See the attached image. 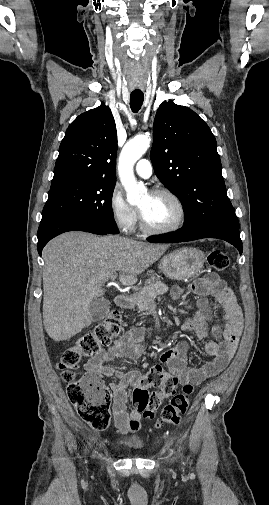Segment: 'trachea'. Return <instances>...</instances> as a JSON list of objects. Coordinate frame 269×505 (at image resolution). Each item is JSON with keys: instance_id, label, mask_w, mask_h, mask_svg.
<instances>
[{"instance_id": "trachea-1", "label": "trachea", "mask_w": 269, "mask_h": 505, "mask_svg": "<svg viewBox=\"0 0 269 505\" xmlns=\"http://www.w3.org/2000/svg\"><path fill=\"white\" fill-rule=\"evenodd\" d=\"M144 101V94L141 91H133L130 97V107L133 112H138Z\"/></svg>"}]
</instances>
